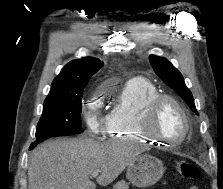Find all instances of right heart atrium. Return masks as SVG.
I'll return each instance as SVG.
<instances>
[{
  "label": "right heart atrium",
  "instance_id": "obj_1",
  "mask_svg": "<svg viewBox=\"0 0 223 189\" xmlns=\"http://www.w3.org/2000/svg\"><path fill=\"white\" fill-rule=\"evenodd\" d=\"M86 121L90 130L97 134L103 130V120L99 118L96 102L91 99L86 110Z\"/></svg>",
  "mask_w": 223,
  "mask_h": 189
}]
</instances>
